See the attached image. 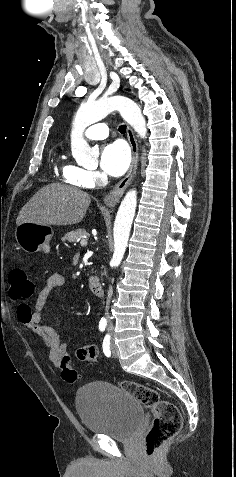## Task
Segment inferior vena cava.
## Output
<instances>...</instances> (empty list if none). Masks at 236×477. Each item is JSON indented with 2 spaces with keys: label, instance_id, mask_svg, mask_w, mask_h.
Masks as SVG:
<instances>
[{
  "label": "inferior vena cava",
  "instance_id": "602c4592",
  "mask_svg": "<svg viewBox=\"0 0 236 477\" xmlns=\"http://www.w3.org/2000/svg\"><path fill=\"white\" fill-rule=\"evenodd\" d=\"M110 297H111V288H110L109 291H108V297H107V302H106V313H105V314H106V318H107V320H108L109 325L112 326V322H111V320H110L109 312H108V310H109V304H110Z\"/></svg>",
  "mask_w": 236,
  "mask_h": 477
}]
</instances>
